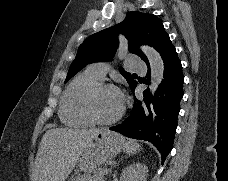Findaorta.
<instances>
[{"instance_id":"aorta-1","label":"aorta","mask_w":228,"mask_h":181,"mask_svg":"<svg viewBox=\"0 0 228 181\" xmlns=\"http://www.w3.org/2000/svg\"><path fill=\"white\" fill-rule=\"evenodd\" d=\"M142 51L148 58L151 67L150 91L153 94L163 79L164 63L160 54L151 47L143 46Z\"/></svg>"}]
</instances>
